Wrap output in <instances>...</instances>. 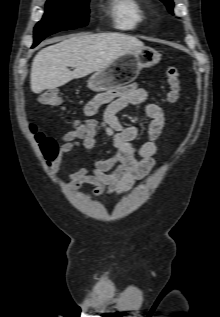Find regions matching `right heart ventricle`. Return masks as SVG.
I'll return each mask as SVG.
<instances>
[{
    "label": "right heart ventricle",
    "mask_w": 220,
    "mask_h": 317,
    "mask_svg": "<svg viewBox=\"0 0 220 317\" xmlns=\"http://www.w3.org/2000/svg\"><path fill=\"white\" fill-rule=\"evenodd\" d=\"M110 10L114 27L121 31H135L146 20L145 12L137 0H111Z\"/></svg>",
    "instance_id": "obj_1"
}]
</instances>
